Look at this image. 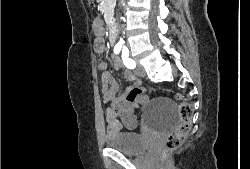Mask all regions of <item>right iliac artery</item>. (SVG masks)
Masks as SVG:
<instances>
[{"mask_svg":"<svg viewBox=\"0 0 250 169\" xmlns=\"http://www.w3.org/2000/svg\"><path fill=\"white\" fill-rule=\"evenodd\" d=\"M119 52H120V49H118V48L115 47V48H114V53H115V54H118Z\"/></svg>","mask_w":250,"mask_h":169,"instance_id":"right-iliac-artery-1","label":"right iliac artery"}]
</instances>
